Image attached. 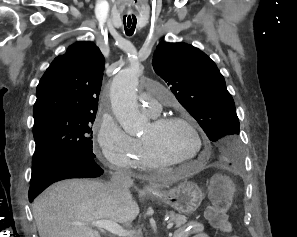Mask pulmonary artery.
Segmentation results:
<instances>
[{
    "mask_svg": "<svg viewBox=\"0 0 297 237\" xmlns=\"http://www.w3.org/2000/svg\"><path fill=\"white\" fill-rule=\"evenodd\" d=\"M164 93L166 91L162 88L152 85L145 86L141 94V106L148 114L155 115L161 105H170L172 102V98L166 97Z\"/></svg>",
    "mask_w": 297,
    "mask_h": 237,
    "instance_id": "e3ab8cb5",
    "label": "pulmonary artery"
}]
</instances>
